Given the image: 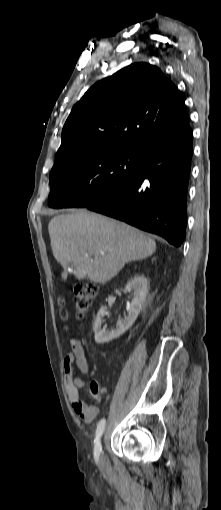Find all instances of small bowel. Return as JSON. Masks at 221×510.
<instances>
[{
	"label": "small bowel",
	"instance_id": "1",
	"mask_svg": "<svg viewBox=\"0 0 221 510\" xmlns=\"http://www.w3.org/2000/svg\"><path fill=\"white\" fill-rule=\"evenodd\" d=\"M71 351L63 360L65 373V387L67 395L72 403L74 412L85 422H92L97 416L98 408L90 407L80 397V390L86 386V379L75 376V367L84 375L90 371L85 355L84 345L81 340L72 338L70 340Z\"/></svg>",
	"mask_w": 221,
	"mask_h": 510
}]
</instances>
